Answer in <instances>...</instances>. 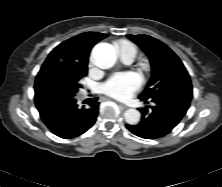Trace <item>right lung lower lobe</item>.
<instances>
[{"label": "right lung lower lobe", "instance_id": "right-lung-lower-lobe-1", "mask_svg": "<svg viewBox=\"0 0 222 187\" xmlns=\"http://www.w3.org/2000/svg\"><path fill=\"white\" fill-rule=\"evenodd\" d=\"M35 104L40 117L55 135L70 139L90 129L97 118L99 102L94 98L87 108L76 103L78 88L57 64L41 70L35 82Z\"/></svg>", "mask_w": 222, "mask_h": 187}]
</instances>
